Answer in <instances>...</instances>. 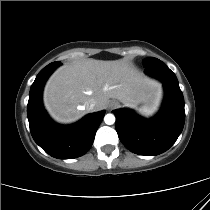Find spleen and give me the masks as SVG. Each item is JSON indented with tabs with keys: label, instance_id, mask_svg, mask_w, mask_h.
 I'll use <instances>...</instances> for the list:
<instances>
[{
	"label": "spleen",
	"instance_id": "3e777b00",
	"mask_svg": "<svg viewBox=\"0 0 210 210\" xmlns=\"http://www.w3.org/2000/svg\"><path fill=\"white\" fill-rule=\"evenodd\" d=\"M155 105H145L140 109L141 113L152 115L155 110Z\"/></svg>",
	"mask_w": 210,
	"mask_h": 210
}]
</instances>
